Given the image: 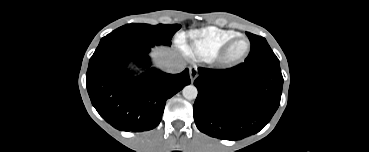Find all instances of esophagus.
Masks as SVG:
<instances>
[{"label": "esophagus", "mask_w": 369, "mask_h": 152, "mask_svg": "<svg viewBox=\"0 0 369 152\" xmlns=\"http://www.w3.org/2000/svg\"><path fill=\"white\" fill-rule=\"evenodd\" d=\"M189 75H190L191 81H194L196 79V77L198 76L197 67H195V66L190 67L189 68Z\"/></svg>", "instance_id": "obj_1"}]
</instances>
